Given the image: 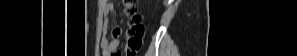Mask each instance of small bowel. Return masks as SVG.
Here are the masks:
<instances>
[{
	"instance_id": "obj_1",
	"label": "small bowel",
	"mask_w": 297,
	"mask_h": 56,
	"mask_svg": "<svg viewBox=\"0 0 297 56\" xmlns=\"http://www.w3.org/2000/svg\"><path fill=\"white\" fill-rule=\"evenodd\" d=\"M106 12L111 13L114 16L117 15L116 9L113 3L106 4ZM109 28V21L105 20L103 25L104 32H107ZM122 35V29L115 27L112 31V40L109 41L106 37L101 39V49L103 56H115V53L119 52L118 47L120 45V37Z\"/></svg>"
}]
</instances>
